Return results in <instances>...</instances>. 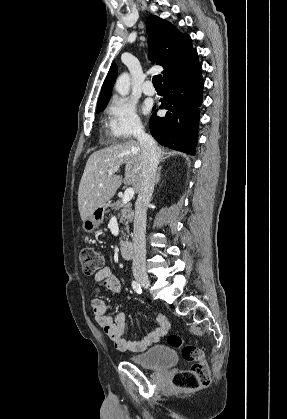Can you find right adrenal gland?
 I'll return each mask as SVG.
<instances>
[{
  "instance_id": "obj_1",
  "label": "right adrenal gland",
  "mask_w": 287,
  "mask_h": 419,
  "mask_svg": "<svg viewBox=\"0 0 287 419\" xmlns=\"http://www.w3.org/2000/svg\"><path fill=\"white\" fill-rule=\"evenodd\" d=\"M160 174H161V167L158 168V172L156 175L155 185H157L160 181Z\"/></svg>"
}]
</instances>
